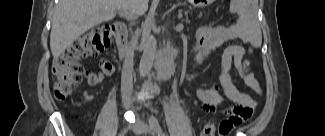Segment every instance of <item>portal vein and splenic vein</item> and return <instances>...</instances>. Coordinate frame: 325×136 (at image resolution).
<instances>
[{"mask_svg":"<svg viewBox=\"0 0 325 136\" xmlns=\"http://www.w3.org/2000/svg\"><path fill=\"white\" fill-rule=\"evenodd\" d=\"M120 15L126 19H129V20H133L135 19L133 13H127V12H121ZM178 28L179 29H182L183 28V25L182 24H179L178 25Z\"/></svg>","mask_w":325,"mask_h":136,"instance_id":"1","label":"portal vein and splenic vein"}]
</instances>
